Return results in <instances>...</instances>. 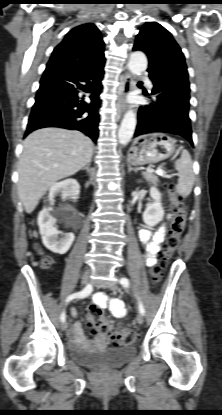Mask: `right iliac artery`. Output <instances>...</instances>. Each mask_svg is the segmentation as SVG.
<instances>
[{"label":"right iliac artery","mask_w":222,"mask_h":415,"mask_svg":"<svg viewBox=\"0 0 222 415\" xmlns=\"http://www.w3.org/2000/svg\"><path fill=\"white\" fill-rule=\"evenodd\" d=\"M92 289H93L92 288V285L91 284H88L82 291L76 292V293H73V294L69 295L67 297V299H66V304L69 303L73 299H76V298H85V297L89 296L91 294V292H92ZM60 319H61L62 322L65 321V319H66L65 311H63L61 313Z\"/></svg>","instance_id":"82829eb1"}]
</instances>
